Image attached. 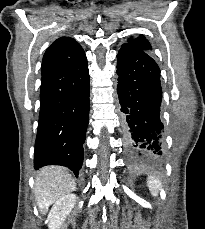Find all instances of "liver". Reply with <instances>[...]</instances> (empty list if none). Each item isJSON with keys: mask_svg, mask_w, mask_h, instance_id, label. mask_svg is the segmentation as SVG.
I'll return each mask as SVG.
<instances>
[{"mask_svg": "<svg viewBox=\"0 0 205 229\" xmlns=\"http://www.w3.org/2000/svg\"><path fill=\"white\" fill-rule=\"evenodd\" d=\"M76 188L75 180L63 166L42 168L35 178L34 194L41 214H46L50 205L70 194Z\"/></svg>", "mask_w": 205, "mask_h": 229, "instance_id": "6515ba94", "label": "liver"}]
</instances>
